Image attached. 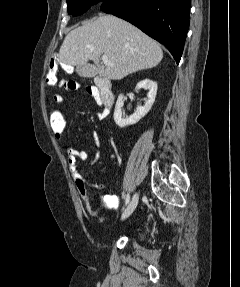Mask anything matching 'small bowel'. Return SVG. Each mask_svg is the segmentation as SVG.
Returning <instances> with one entry per match:
<instances>
[{
	"instance_id": "obj_1",
	"label": "small bowel",
	"mask_w": 240,
	"mask_h": 287,
	"mask_svg": "<svg viewBox=\"0 0 240 287\" xmlns=\"http://www.w3.org/2000/svg\"><path fill=\"white\" fill-rule=\"evenodd\" d=\"M86 91L89 95H91L98 105L101 107L100 112L98 113V116L100 118H105L109 115V108L104 106L100 99V95L98 92V89L95 86H88L86 87ZM53 101L55 103H62L64 101L63 97L60 94H55L53 95ZM58 140L61 139V135H55ZM93 140L96 146V151L94 154L93 159L90 161V166L94 167L100 160L101 158V141L99 138V135L97 133H93ZM66 155H67V163H68V169L72 174H77V162L78 160L81 161H87L90 159V153L88 151L84 150H78L72 146L66 145ZM103 206L107 210L113 209L117 203H118V198L115 195H106L102 199Z\"/></svg>"
}]
</instances>
